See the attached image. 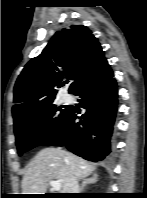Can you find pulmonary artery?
I'll return each mask as SVG.
<instances>
[{
	"label": "pulmonary artery",
	"instance_id": "pulmonary-artery-1",
	"mask_svg": "<svg viewBox=\"0 0 147 198\" xmlns=\"http://www.w3.org/2000/svg\"><path fill=\"white\" fill-rule=\"evenodd\" d=\"M70 99H71V97H70L69 94H67V93L63 94L62 100H63L64 102H69Z\"/></svg>",
	"mask_w": 147,
	"mask_h": 198
}]
</instances>
